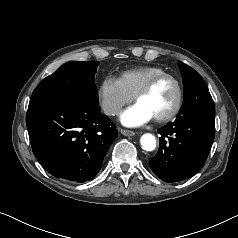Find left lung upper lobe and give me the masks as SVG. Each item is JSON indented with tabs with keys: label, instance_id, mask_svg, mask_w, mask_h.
<instances>
[{
	"label": "left lung upper lobe",
	"instance_id": "left-lung-upper-lobe-1",
	"mask_svg": "<svg viewBox=\"0 0 238 238\" xmlns=\"http://www.w3.org/2000/svg\"><path fill=\"white\" fill-rule=\"evenodd\" d=\"M183 78L184 101L177 118L215 116V108L206 82L190 66L178 61Z\"/></svg>",
	"mask_w": 238,
	"mask_h": 238
}]
</instances>
